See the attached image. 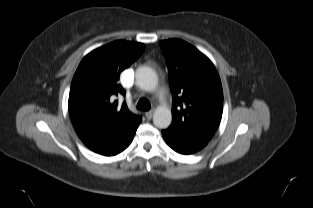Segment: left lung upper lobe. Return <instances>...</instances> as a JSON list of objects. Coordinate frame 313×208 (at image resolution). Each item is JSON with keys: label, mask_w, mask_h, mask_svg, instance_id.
I'll return each instance as SVG.
<instances>
[{"label": "left lung upper lobe", "mask_w": 313, "mask_h": 208, "mask_svg": "<svg viewBox=\"0 0 313 208\" xmlns=\"http://www.w3.org/2000/svg\"><path fill=\"white\" fill-rule=\"evenodd\" d=\"M167 61L173 96L168 131L207 143L217 130L223 112V91L213 63L198 49L179 40L160 42Z\"/></svg>", "instance_id": "obj_1"}]
</instances>
